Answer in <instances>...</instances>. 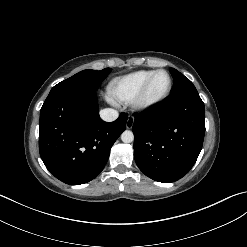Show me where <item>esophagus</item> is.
I'll return each mask as SVG.
<instances>
[{
    "label": "esophagus",
    "mask_w": 247,
    "mask_h": 247,
    "mask_svg": "<svg viewBox=\"0 0 247 247\" xmlns=\"http://www.w3.org/2000/svg\"><path fill=\"white\" fill-rule=\"evenodd\" d=\"M133 124H134V117L129 116L126 122L127 129H131L133 127Z\"/></svg>",
    "instance_id": "34e87169"
}]
</instances>
